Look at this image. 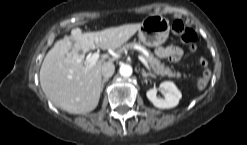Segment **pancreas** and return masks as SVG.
<instances>
[{
	"label": "pancreas",
	"mask_w": 247,
	"mask_h": 145,
	"mask_svg": "<svg viewBox=\"0 0 247 145\" xmlns=\"http://www.w3.org/2000/svg\"><path fill=\"white\" fill-rule=\"evenodd\" d=\"M135 46H141L138 43L132 42L125 44L123 47H121L118 52L123 53L126 52L129 49H134ZM142 47V46H141ZM146 61L149 63L151 69L153 72L160 76H167V77H181V73L176 72L169 68L168 66H165L161 61L156 58L152 53H149L148 55H145Z\"/></svg>",
	"instance_id": "cf45deb5"
}]
</instances>
